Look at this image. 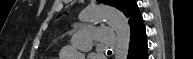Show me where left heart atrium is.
I'll use <instances>...</instances> for the list:
<instances>
[{
  "mask_svg": "<svg viewBox=\"0 0 193 59\" xmlns=\"http://www.w3.org/2000/svg\"><path fill=\"white\" fill-rule=\"evenodd\" d=\"M87 59H99L96 55L91 54L87 57Z\"/></svg>",
  "mask_w": 193,
  "mask_h": 59,
  "instance_id": "1",
  "label": "left heart atrium"
}]
</instances>
